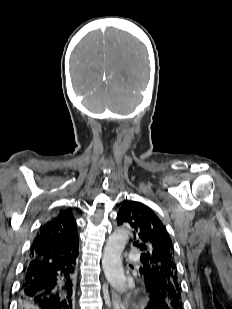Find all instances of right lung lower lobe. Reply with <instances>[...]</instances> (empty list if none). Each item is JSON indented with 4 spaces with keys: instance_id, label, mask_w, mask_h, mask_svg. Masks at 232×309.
<instances>
[{
    "instance_id": "right-lung-lower-lobe-1",
    "label": "right lung lower lobe",
    "mask_w": 232,
    "mask_h": 309,
    "mask_svg": "<svg viewBox=\"0 0 232 309\" xmlns=\"http://www.w3.org/2000/svg\"><path fill=\"white\" fill-rule=\"evenodd\" d=\"M77 256L55 259L40 267L28 261L20 287V309H73Z\"/></svg>"
}]
</instances>
